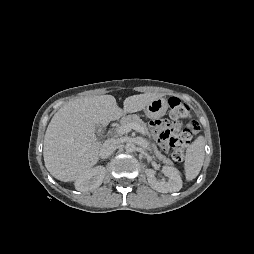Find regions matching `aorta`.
<instances>
[{"label":"aorta","mask_w":254,"mask_h":254,"mask_svg":"<svg viewBox=\"0 0 254 254\" xmlns=\"http://www.w3.org/2000/svg\"><path fill=\"white\" fill-rule=\"evenodd\" d=\"M136 149V146L134 143L132 142H128L126 145H125V150L128 152V153H132L134 152Z\"/></svg>","instance_id":"obj_1"}]
</instances>
